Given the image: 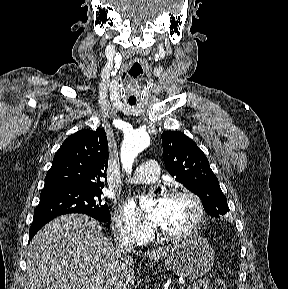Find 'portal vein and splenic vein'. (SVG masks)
<instances>
[{"instance_id": "1", "label": "portal vein and splenic vein", "mask_w": 288, "mask_h": 289, "mask_svg": "<svg viewBox=\"0 0 288 289\" xmlns=\"http://www.w3.org/2000/svg\"><path fill=\"white\" fill-rule=\"evenodd\" d=\"M185 285H183V286H179V289H185Z\"/></svg>"}]
</instances>
